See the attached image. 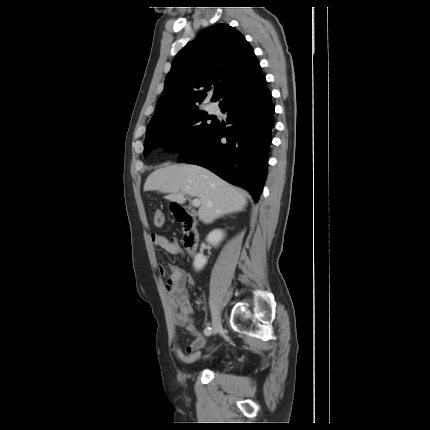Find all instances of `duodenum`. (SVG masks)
<instances>
[{"label": "duodenum", "mask_w": 430, "mask_h": 430, "mask_svg": "<svg viewBox=\"0 0 430 430\" xmlns=\"http://www.w3.org/2000/svg\"><path fill=\"white\" fill-rule=\"evenodd\" d=\"M173 214L176 220L182 224L183 243L185 248L190 253H193L199 244V233L196 227L195 218L179 205L173 209Z\"/></svg>", "instance_id": "duodenum-1"}]
</instances>
